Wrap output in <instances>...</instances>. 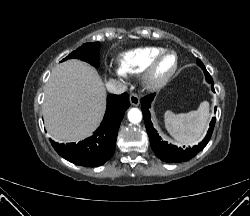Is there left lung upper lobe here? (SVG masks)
Segmentation results:
<instances>
[{"label": "left lung upper lobe", "instance_id": "obj_1", "mask_svg": "<svg viewBox=\"0 0 250 216\" xmlns=\"http://www.w3.org/2000/svg\"><path fill=\"white\" fill-rule=\"evenodd\" d=\"M197 64H198L201 68L205 67V66L203 65V63H202L199 59H197Z\"/></svg>", "mask_w": 250, "mask_h": 216}]
</instances>
